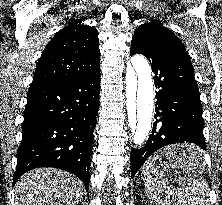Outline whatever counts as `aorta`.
Segmentation results:
<instances>
[{
    "instance_id": "aorta-1",
    "label": "aorta",
    "mask_w": 222,
    "mask_h": 205,
    "mask_svg": "<svg viewBox=\"0 0 222 205\" xmlns=\"http://www.w3.org/2000/svg\"><path fill=\"white\" fill-rule=\"evenodd\" d=\"M126 105L130 140L142 149L152 129L154 107L151 68L145 57L135 55L126 69Z\"/></svg>"
}]
</instances>
